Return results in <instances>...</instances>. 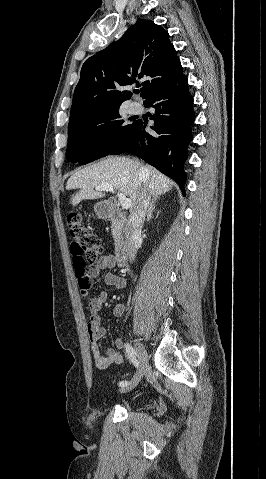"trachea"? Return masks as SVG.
Segmentation results:
<instances>
[{"label": "trachea", "instance_id": "obj_1", "mask_svg": "<svg viewBox=\"0 0 266 479\" xmlns=\"http://www.w3.org/2000/svg\"><path fill=\"white\" fill-rule=\"evenodd\" d=\"M141 91V90H140ZM136 93H139V90H136Z\"/></svg>", "mask_w": 266, "mask_h": 479}]
</instances>
